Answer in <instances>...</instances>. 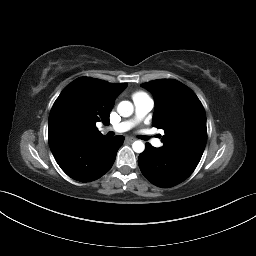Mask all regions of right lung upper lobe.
I'll use <instances>...</instances> for the list:
<instances>
[{"label": "right lung upper lobe", "instance_id": "right-lung-upper-lobe-1", "mask_svg": "<svg viewBox=\"0 0 256 256\" xmlns=\"http://www.w3.org/2000/svg\"><path fill=\"white\" fill-rule=\"evenodd\" d=\"M127 83L113 84L80 77L67 85L51 109L48 141L52 153L69 145L103 136L96 122L109 124L116 97Z\"/></svg>", "mask_w": 256, "mask_h": 256}]
</instances>
